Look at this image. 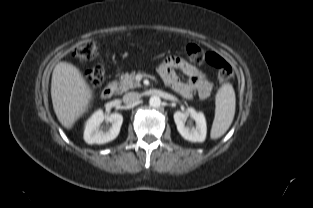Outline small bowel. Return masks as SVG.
I'll return each instance as SVG.
<instances>
[{
  "mask_svg": "<svg viewBox=\"0 0 313 208\" xmlns=\"http://www.w3.org/2000/svg\"><path fill=\"white\" fill-rule=\"evenodd\" d=\"M181 70L187 77V81H181L175 70ZM158 71L164 80L174 91L182 97L189 99L194 94L205 99L212 91V83L196 67L179 57H168L159 66Z\"/></svg>",
  "mask_w": 313,
  "mask_h": 208,
  "instance_id": "small-bowel-1",
  "label": "small bowel"
}]
</instances>
